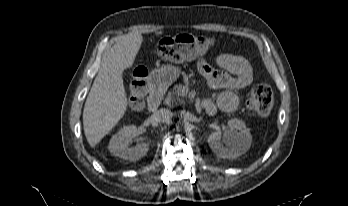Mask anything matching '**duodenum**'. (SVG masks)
<instances>
[{
	"mask_svg": "<svg viewBox=\"0 0 348 206\" xmlns=\"http://www.w3.org/2000/svg\"><path fill=\"white\" fill-rule=\"evenodd\" d=\"M149 89L148 109L151 112H155L161 104L165 89L155 78L150 79Z\"/></svg>",
	"mask_w": 348,
	"mask_h": 206,
	"instance_id": "1",
	"label": "duodenum"
}]
</instances>
